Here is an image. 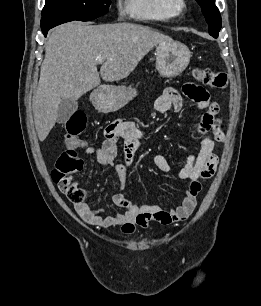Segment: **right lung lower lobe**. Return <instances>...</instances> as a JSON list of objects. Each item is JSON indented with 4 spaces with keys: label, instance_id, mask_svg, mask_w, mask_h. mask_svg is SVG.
I'll return each mask as SVG.
<instances>
[{
    "label": "right lung lower lobe",
    "instance_id": "98d812e1",
    "mask_svg": "<svg viewBox=\"0 0 261 306\" xmlns=\"http://www.w3.org/2000/svg\"><path fill=\"white\" fill-rule=\"evenodd\" d=\"M69 21H73L72 19H66V18H42L41 19V29L42 32L44 34V36H47V32L60 24L69 22Z\"/></svg>",
    "mask_w": 261,
    "mask_h": 306
}]
</instances>
